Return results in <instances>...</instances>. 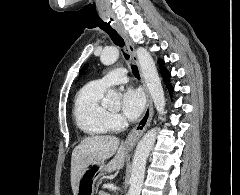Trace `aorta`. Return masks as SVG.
<instances>
[{
    "mask_svg": "<svg viewBox=\"0 0 240 195\" xmlns=\"http://www.w3.org/2000/svg\"><path fill=\"white\" fill-rule=\"evenodd\" d=\"M136 56L140 64L141 74L146 82L149 94L154 101V105L159 115H163L165 109V96L154 60L145 48H137ZM118 58L119 50H117V48H112L111 46V48H105V50H103L102 56H100V62H102L104 66H112V64L117 62ZM106 98L114 101V99H118V94H116L115 90H108ZM157 131V127L149 129V131L143 135L142 139H140L135 149L130 177V187L127 195H140L141 193L147 157L156 141Z\"/></svg>",
    "mask_w": 240,
    "mask_h": 195,
    "instance_id": "762f6f07",
    "label": "aorta"
}]
</instances>
